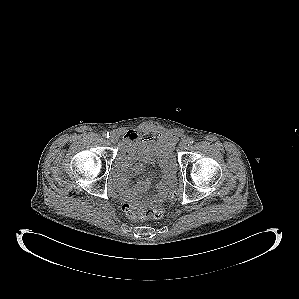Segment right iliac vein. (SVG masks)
<instances>
[{"mask_svg":"<svg viewBox=\"0 0 299 299\" xmlns=\"http://www.w3.org/2000/svg\"><path fill=\"white\" fill-rule=\"evenodd\" d=\"M109 138L112 143H116L118 141V137L115 133H111Z\"/></svg>","mask_w":299,"mask_h":299,"instance_id":"obj_1","label":"right iliac vein"}]
</instances>
